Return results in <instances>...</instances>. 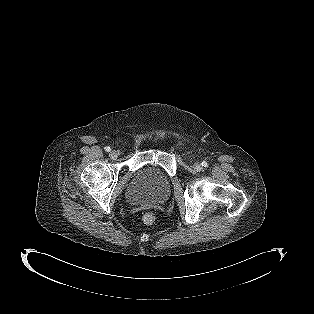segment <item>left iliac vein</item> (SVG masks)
I'll use <instances>...</instances> for the list:
<instances>
[{
	"mask_svg": "<svg viewBox=\"0 0 314 314\" xmlns=\"http://www.w3.org/2000/svg\"><path fill=\"white\" fill-rule=\"evenodd\" d=\"M194 169H195L196 171H201V170H202V165H201V163H199V162L195 163V164H194Z\"/></svg>",
	"mask_w": 314,
	"mask_h": 314,
	"instance_id": "1",
	"label": "left iliac vein"
}]
</instances>
